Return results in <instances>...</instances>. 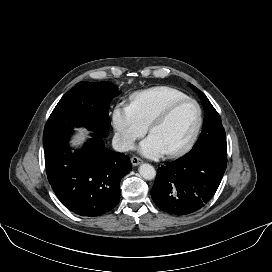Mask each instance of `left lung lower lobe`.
<instances>
[{"label": "left lung lower lobe", "instance_id": "left-lung-lower-lobe-1", "mask_svg": "<svg viewBox=\"0 0 272 272\" xmlns=\"http://www.w3.org/2000/svg\"><path fill=\"white\" fill-rule=\"evenodd\" d=\"M227 166V154L192 149L158 168L151 196L163 211L187 215L198 211L215 194Z\"/></svg>", "mask_w": 272, "mask_h": 272}]
</instances>
